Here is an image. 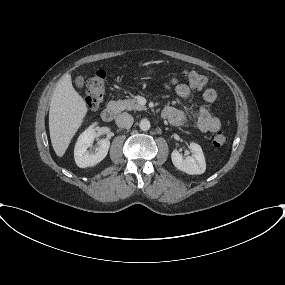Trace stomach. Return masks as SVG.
I'll return each instance as SVG.
<instances>
[{"instance_id":"1","label":"stomach","mask_w":285,"mask_h":285,"mask_svg":"<svg viewBox=\"0 0 285 285\" xmlns=\"http://www.w3.org/2000/svg\"><path fill=\"white\" fill-rule=\"evenodd\" d=\"M148 74H153L155 73L154 69H149V71H147Z\"/></svg>"}]
</instances>
